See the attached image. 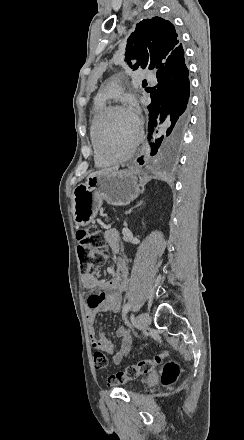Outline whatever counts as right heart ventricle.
I'll return each mask as SVG.
<instances>
[{
	"instance_id": "1",
	"label": "right heart ventricle",
	"mask_w": 244,
	"mask_h": 440,
	"mask_svg": "<svg viewBox=\"0 0 244 440\" xmlns=\"http://www.w3.org/2000/svg\"><path fill=\"white\" fill-rule=\"evenodd\" d=\"M106 109L105 102H94L93 106V119L91 122V128H90V138L93 148L95 149L96 143L98 142L95 138L98 136V133L101 132V130L97 129V126L100 122H102L103 113ZM132 128V127H131ZM132 134H134V130L132 128ZM99 137V136H98ZM104 138V137H103ZM99 143V142H98ZM106 149H115L116 146H105ZM95 162L96 166L99 168H107L114 164V159L104 156L103 154H100L98 151L95 150Z\"/></svg>"
}]
</instances>
